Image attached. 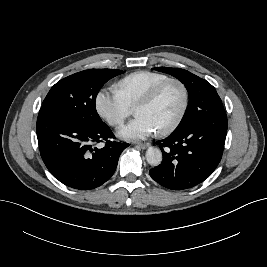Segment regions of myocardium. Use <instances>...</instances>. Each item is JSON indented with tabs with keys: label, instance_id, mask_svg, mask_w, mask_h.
I'll return each mask as SVG.
<instances>
[{
	"label": "myocardium",
	"instance_id": "obj_1",
	"mask_svg": "<svg viewBox=\"0 0 267 267\" xmlns=\"http://www.w3.org/2000/svg\"><path fill=\"white\" fill-rule=\"evenodd\" d=\"M171 83H175L180 87L182 91L183 102L177 118L169 126L157 131V133L161 136H165L174 132L181 125L182 121L185 118V115L189 107V92L185 83L177 78H167L162 82L158 83L157 85H155L136 105L137 109L138 107L152 104L157 99L161 91L168 84Z\"/></svg>",
	"mask_w": 267,
	"mask_h": 267
}]
</instances>
